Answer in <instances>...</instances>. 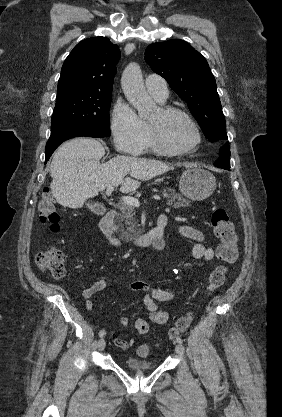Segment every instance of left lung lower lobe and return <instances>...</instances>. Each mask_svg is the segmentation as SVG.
Here are the masks:
<instances>
[{"label":"left lung lower lobe","mask_w":282,"mask_h":417,"mask_svg":"<svg viewBox=\"0 0 282 417\" xmlns=\"http://www.w3.org/2000/svg\"><path fill=\"white\" fill-rule=\"evenodd\" d=\"M218 147H220V157L219 159L215 162V166L225 169V170H229L230 169V148H229V144L227 143V141L221 142V143H217L216 144Z\"/></svg>","instance_id":"1"}]
</instances>
